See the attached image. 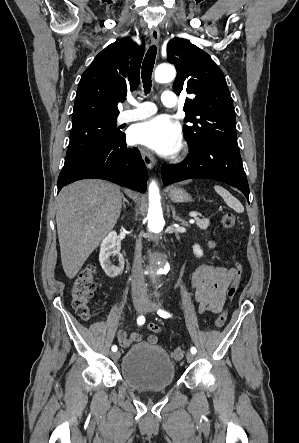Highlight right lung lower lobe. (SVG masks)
I'll list each match as a JSON object with an SVG mask.
<instances>
[{
    "label": "right lung lower lobe",
    "mask_w": 299,
    "mask_h": 443,
    "mask_svg": "<svg viewBox=\"0 0 299 443\" xmlns=\"http://www.w3.org/2000/svg\"><path fill=\"white\" fill-rule=\"evenodd\" d=\"M86 178L104 179L145 192L148 178L136 147H127L123 133L115 142L97 147L64 164L58 178V192L65 185Z\"/></svg>",
    "instance_id": "98d812e1"
}]
</instances>
